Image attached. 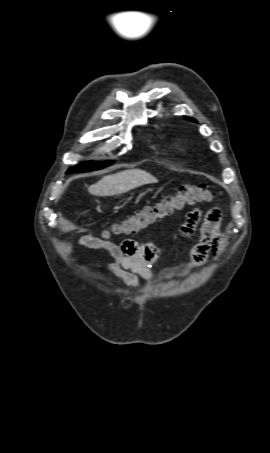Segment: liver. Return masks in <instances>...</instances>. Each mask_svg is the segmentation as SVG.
<instances>
[{
    "mask_svg": "<svg viewBox=\"0 0 270 453\" xmlns=\"http://www.w3.org/2000/svg\"><path fill=\"white\" fill-rule=\"evenodd\" d=\"M157 182L154 176L144 170L130 169L102 177L97 183L89 186L88 192L95 196H113Z\"/></svg>",
    "mask_w": 270,
    "mask_h": 453,
    "instance_id": "obj_1",
    "label": "liver"
}]
</instances>
